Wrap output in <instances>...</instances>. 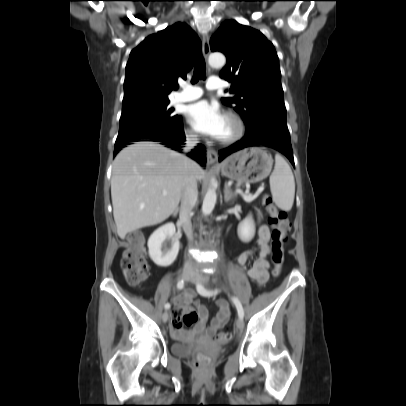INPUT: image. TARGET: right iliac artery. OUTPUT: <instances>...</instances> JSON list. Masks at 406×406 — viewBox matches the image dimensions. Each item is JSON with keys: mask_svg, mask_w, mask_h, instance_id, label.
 <instances>
[{"mask_svg": "<svg viewBox=\"0 0 406 406\" xmlns=\"http://www.w3.org/2000/svg\"><path fill=\"white\" fill-rule=\"evenodd\" d=\"M177 288H178L179 290H181V289L184 288V280H183V279L178 281V283H177ZM169 308H170V304H169V303H166V304H165V309H169Z\"/></svg>", "mask_w": 406, "mask_h": 406, "instance_id": "82829eb1", "label": "right iliac artery"}]
</instances>
